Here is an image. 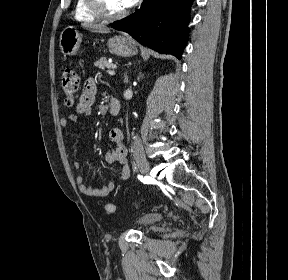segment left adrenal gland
<instances>
[{
	"instance_id": "1",
	"label": "left adrenal gland",
	"mask_w": 288,
	"mask_h": 280,
	"mask_svg": "<svg viewBox=\"0 0 288 280\" xmlns=\"http://www.w3.org/2000/svg\"><path fill=\"white\" fill-rule=\"evenodd\" d=\"M124 82H125V83H128V76H127L126 73H125V75H124Z\"/></svg>"
}]
</instances>
